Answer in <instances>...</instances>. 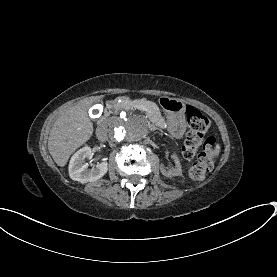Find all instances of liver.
<instances>
[{
    "mask_svg": "<svg viewBox=\"0 0 277 277\" xmlns=\"http://www.w3.org/2000/svg\"><path fill=\"white\" fill-rule=\"evenodd\" d=\"M105 98L106 95L85 98L64 111L54 122L47 149L58 166L65 167L71 155L92 138L94 126L88 110L92 104Z\"/></svg>",
    "mask_w": 277,
    "mask_h": 277,
    "instance_id": "obj_1",
    "label": "liver"
}]
</instances>
